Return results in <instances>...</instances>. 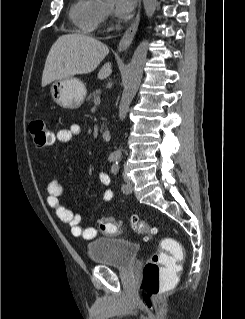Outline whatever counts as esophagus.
<instances>
[{"label": "esophagus", "instance_id": "esophagus-1", "mask_svg": "<svg viewBox=\"0 0 245 319\" xmlns=\"http://www.w3.org/2000/svg\"><path fill=\"white\" fill-rule=\"evenodd\" d=\"M139 21H140V3H139V10L134 21L132 22L130 27L126 30L122 39L119 42L118 51L122 52L130 46V44L132 43L134 39L136 31L138 29Z\"/></svg>", "mask_w": 245, "mask_h": 319}]
</instances>
